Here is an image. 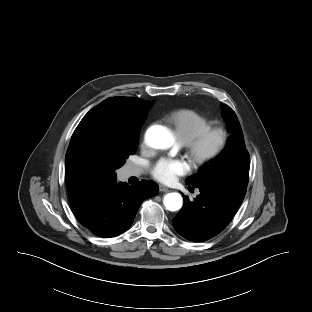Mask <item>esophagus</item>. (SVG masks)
<instances>
[{"label": "esophagus", "mask_w": 312, "mask_h": 312, "mask_svg": "<svg viewBox=\"0 0 312 312\" xmlns=\"http://www.w3.org/2000/svg\"><path fill=\"white\" fill-rule=\"evenodd\" d=\"M159 190L161 192H168L169 191V189L166 186L162 185V184L159 185Z\"/></svg>", "instance_id": "esophagus-1"}]
</instances>
